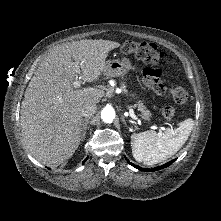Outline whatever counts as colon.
<instances>
[{
  "label": "colon",
  "mask_w": 221,
  "mask_h": 221,
  "mask_svg": "<svg viewBox=\"0 0 221 221\" xmlns=\"http://www.w3.org/2000/svg\"><path fill=\"white\" fill-rule=\"evenodd\" d=\"M121 51L125 55L132 54L139 60L150 65L143 71V80L158 94L168 92L177 104H184L188 100V94L181 86L172 83L166 88L164 85L161 78V71L156 67L163 58V52L160 51L155 44L129 40L122 45ZM175 114L176 111L173 106H166L162 110V116L168 122L174 120Z\"/></svg>",
  "instance_id": "5ec220e1"
}]
</instances>
